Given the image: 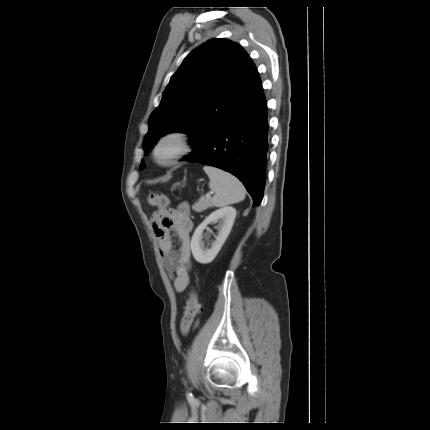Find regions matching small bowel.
<instances>
[{"instance_id": "small-bowel-1", "label": "small bowel", "mask_w": 430, "mask_h": 430, "mask_svg": "<svg viewBox=\"0 0 430 430\" xmlns=\"http://www.w3.org/2000/svg\"><path fill=\"white\" fill-rule=\"evenodd\" d=\"M193 222L187 203L165 212H157L152 217V229L158 241L159 253L168 277L173 281L174 289L181 293L190 282L191 250L190 232ZM174 233L178 248L173 247ZM182 331V327H181Z\"/></svg>"}]
</instances>
